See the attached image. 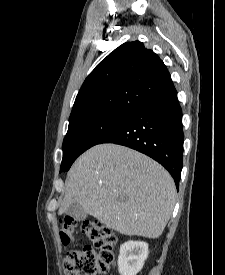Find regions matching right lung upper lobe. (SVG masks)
I'll use <instances>...</instances> for the list:
<instances>
[{"label": "right lung upper lobe", "instance_id": "cb5924a9", "mask_svg": "<svg viewBox=\"0 0 225 275\" xmlns=\"http://www.w3.org/2000/svg\"><path fill=\"white\" fill-rule=\"evenodd\" d=\"M175 90L158 55L139 41L127 42L111 52L86 78L69 122L102 112H131Z\"/></svg>", "mask_w": 225, "mask_h": 275}]
</instances>
